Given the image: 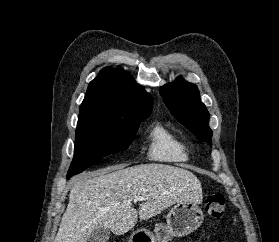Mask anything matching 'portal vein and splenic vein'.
Here are the masks:
<instances>
[{"mask_svg": "<svg viewBox=\"0 0 279 242\" xmlns=\"http://www.w3.org/2000/svg\"><path fill=\"white\" fill-rule=\"evenodd\" d=\"M146 198L145 197H143V196H135L134 198H133V201L134 202H138V201H143V200H145Z\"/></svg>", "mask_w": 279, "mask_h": 242, "instance_id": "1", "label": "portal vein and splenic vein"}]
</instances>
